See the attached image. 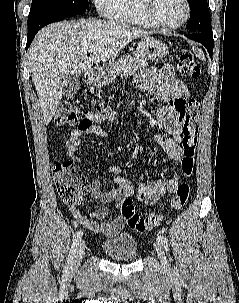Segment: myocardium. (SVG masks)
<instances>
[{
    "label": "myocardium",
    "instance_id": "obj_1",
    "mask_svg": "<svg viewBox=\"0 0 239 303\" xmlns=\"http://www.w3.org/2000/svg\"><path fill=\"white\" fill-rule=\"evenodd\" d=\"M183 2L185 4V9H186L185 16L183 17V19L175 24H165L160 22L155 16L154 11H155L156 0H139L140 10L144 15V17L147 19V21L153 27L164 29V30L178 29L189 20L191 15L190 2L189 0H183Z\"/></svg>",
    "mask_w": 239,
    "mask_h": 303
}]
</instances>
